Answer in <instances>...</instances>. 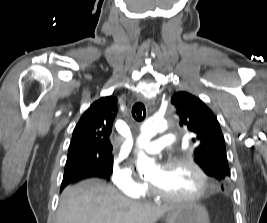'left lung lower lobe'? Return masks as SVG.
I'll return each mask as SVG.
<instances>
[{"mask_svg":"<svg viewBox=\"0 0 267 223\" xmlns=\"http://www.w3.org/2000/svg\"><path fill=\"white\" fill-rule=\"evenodd\" d=\"M216 190H229V185L227 182H218L216 185Z\"/></svg>","mask_w":267,"mask_h":223,"instance_id":"1","label":"left lung lower lobe"}]
</instances>
